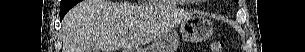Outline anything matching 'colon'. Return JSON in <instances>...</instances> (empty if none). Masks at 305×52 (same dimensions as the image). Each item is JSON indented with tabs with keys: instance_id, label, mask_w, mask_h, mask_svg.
Wrapping results in <instances>:
<instances>
[{
	"instance_id": "colon-1",
	"label": "colon",
	"mask_w": 305,
	"mask_h": 52,
	"mask_svg": "<svg viewBox=\"0 0 305 52\" xmlns=\"http://www.w3.org/2000/svg\"><path fill=\"white\" fill-rule=\"evenodd\" d=\"M212 52H223L225 49V43L220 39H215L210 45Z\"/></svg>"
}]
</instances>
